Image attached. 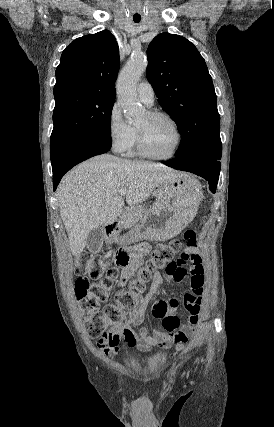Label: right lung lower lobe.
I'll use <instances>...</instances> for the list:
<instances>
[{"mask_svg":"<svg viewBox=\"0 0 274 427\" xmlns=\"http://www.w3.org/2000/svg\"><path fill=\"white\" fill-rule=\"evenodd\" d=\"M111 148V139L91 138L68 148L55 161L51 162L53 170V185L56 190L62 176L76 164L103 154Z\"/></svg>","mask_w":274,"mask_h":427,"instance_id":"obj_1","label":"right lung lower lobe"}]
</instances>
